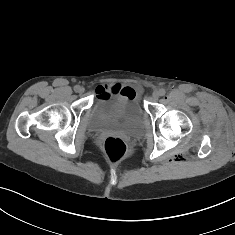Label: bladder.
Returning a JSON list of instances; mask_svg holds the SVG:
<instances>
[{
	"label": "bladder",
	"instance_id": "bladder-1",
	"mask_svg": "<svg viewBox=\"0 0 235 235\" xmlns=\"http://www.w3.org/2000/svg\"><path fill=\"white\" fill-rule=\"evenodd\" d=\"M144 120V112L136 97L111 94L98 97L90 110L89 127L93 131L120 130L128 134L138 133Z\"/></svg>",
	"mask_w": 235,
	"mask_h": 235
}]
</instances>
